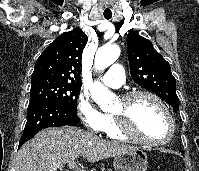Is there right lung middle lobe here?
<instances>
[{
	"instance_id": "right-lung-middle-lobe-1",
	"label": "right lung middle lobe",
	"mask_w": 199,
	"mask_h": 171,
	"mask_svg": "<svg viewBox=\"0 0 199 171\" xmlns=\"http://www.w3.org/2000/svg\"><path fill=\"white\" fill-rule=\"evenodd\" d=\"M80 90V84L49 78H36L31 80L30 102L50 100L77 113V96Z\"/></svg>"
}]
</instances>
